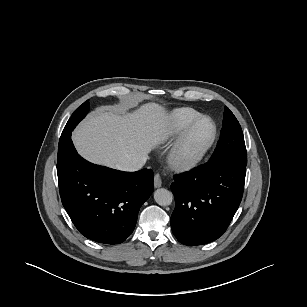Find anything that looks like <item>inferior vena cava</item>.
I'll return each mask as SVG.
<instances>
[{
  "label": "inferior vena cava",
  "mask_w": 307,
  "mask_h": 307,
  "mask_svg": "<svg viewBox=\"0 0 307 307\" xmlns=\"http://www.w3.org/2000/svg\"><path fill=\"white\" fill-rule=\"evenodd\" d=\"M146 162V158H141L139 160L133 161L131 163L118 166L117 169L122 170V171H128V172H133L141 169Z\"/></svg>",
  "instance_id": "obj_1"
}]
</instances>
